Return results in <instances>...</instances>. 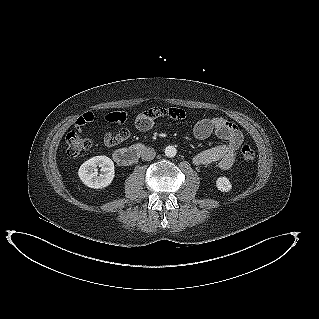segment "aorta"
Segmentation results:
<instances>
[{
	"label": "aorta",
	"mask_w": 319,
	"mask_h": 319,
	"mask_svg": "<svg viewBox=\"0 0 319 319\" xmlns=\"http://www.w3.org/2000/svg\"><path fill=\"white\" fill-rule=\"evenodd\" d=\"M177 150L174 146H167L165 148V155L169 158H172L176 155Z\"/></svg>",
	"instance_id": "aorta-1"
}]
</instances>
